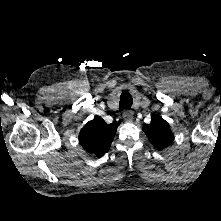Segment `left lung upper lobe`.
<instances>
[{
    "label": "left lung upper lobe",
    "instance_id": "obj_1",
    "mask_svg": "<svg viewBox=\"0 0 221 221\" xmlns=\"http://www.w3.org/2000/svg\"><path fill=\"white\" fill-rule=\"evenodd\" d=\"M143 131L149 138L151 144L160 150L170 145L174 140V135L168 122L158 114L152 116L150 124L143 125Z\"/></svg>",
    "mask_w": 221,
    "mask_h": 221
}]
</instances>
